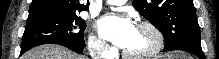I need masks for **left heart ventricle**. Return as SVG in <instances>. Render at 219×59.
Segmentation results:
<instances>
[{"label": "left heart ventricle", "instance_id": "obj_1", "mask_svg": "<svg viewBox=\"0 0 219 59\" xmlns=\"http://www.w3.org/2000/svg\"><path fill=\"white\" fill-rule=\"evenodd\" d=\"M153 44L154 37L152 33L146 29L137 27L134 35L124 49L132 54H141L150 50Z\"/></svg>", "mask_w": 219, "mask_h": 59}]
</instances>
